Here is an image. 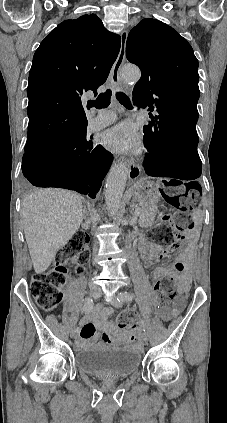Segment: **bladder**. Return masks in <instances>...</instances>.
I'll return each mask as SVG.
<instances>
[{
	"label": "bladder",
	"mask_w": 227,
	"mask_h": 423,
	"mask_svg": "<svg viewBox=\"0 0 227 423\" xmlns=\"http://www.w3.org/2000/svg\"><path fill=\"white\" fill-rule=\"evenodd\" d=\"M141 363L142 351L132 348H95L74 357L75 366L85 375L104 380L131 378Z\"/></svg>",
	"instance_id": "31cf9c89"
}]
</instances>
